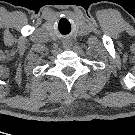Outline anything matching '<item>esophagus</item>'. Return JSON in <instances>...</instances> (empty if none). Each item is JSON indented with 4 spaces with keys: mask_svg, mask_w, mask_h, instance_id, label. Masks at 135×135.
Here are the masks:
<instances>
[{
    "mask_svg": "<svg viewBox=\"0 0 135 135\" xmlns=\"http://www.w3.org/2000/svg\"><path fill=\"white\" fill-rule=\"evenodd\" d=\"M62 46L65 48V49H69L70 46H71V41L69 39H64L63 42H62Z\"/></svg>",
    "mask_w": 135,
    "mask_h": 135,
    "instance_id": "obj_1",
    "label": "esophagus"
}]
</instances>
